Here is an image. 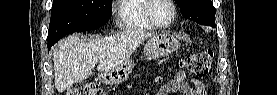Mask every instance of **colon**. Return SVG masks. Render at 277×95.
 <instances>
[{
	"mask_svg": "<svg viewBox=\"0 0 277 95\" xmlns=\"http://www.w3.org/2000/svg\"><path fill=\"white\" fill-rule=\"evenodd\" d=\"M213 51L207 49L202 52L190 55L185 60V66L189 72L197 77H204L209 74L212 66ZM102 94L100 86L92 82H76L72 84L67 95H99Z\"/></svg>",
	"mask_w": 277,
	"mask_h": 95,
	"instance_id": "obj_1",
	"label": "colon"
}]
</instances>
